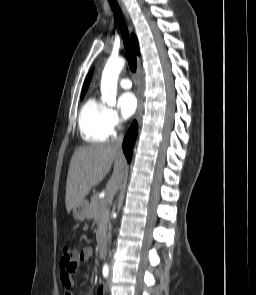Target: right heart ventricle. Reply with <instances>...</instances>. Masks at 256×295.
<instances>
[{
  "label": "right heart ventricle",
  "instance_id": "right-heart-ventricle-1",
  "mask_svg": "<svg viewBox=\"0 0 256 295\" xmlns=\"http://www.w3.org/2000/svg\"><path fill=\"white\" fill-rule=\"evenodd\" d=\"M107 109L94 96L84 102L79 112V129L85 141L100 143L108 140L110 133L106 123Z\"/></svg>",
  "mask_w": 256,
  "mask_h": 295
}]
</instances>
